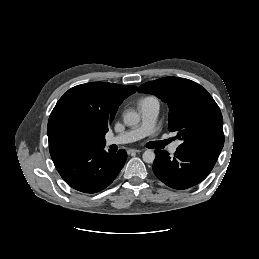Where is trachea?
Instances as JSON below:
<instances>
[{"instance_id":"3493384b","label":"trachea","mask_w":259,"mask_h":259,"mask_svg":"<svg viewBox=\"0 0 259 259\" xmlns=\"http://www.w3.org/2000/svg\"><path fill=\"white\" fill-rule=\"evenodd\" d=\"M167 143H169V141L157 142L156 145H157L158 147H161V146H163V145H165V144H167Z\"/></svg>"}]
</instances>
